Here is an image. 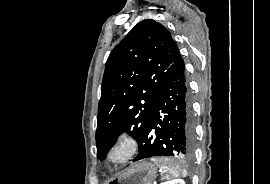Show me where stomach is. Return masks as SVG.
<instances>
[{"label": "stomach", "mask_w": 270, "mask_h": 184, "mask_svg": "<svg viewBox=\"0 0 270 184\" xmlns=\"http://www.w3.org/2000/svg\"><path fill=\"white\" fill-rule=\"evenodd\" d=\"M157 176L155 165L150 162H140L125 172L111 179L108 184H152Z\"/></svg>", "instance_id": "1"}]
</instances>
